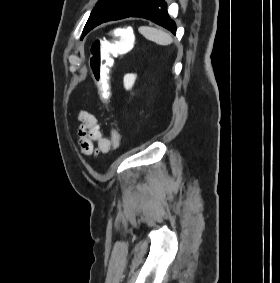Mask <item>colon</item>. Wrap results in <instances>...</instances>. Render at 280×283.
<instances>
[{"label":"colon","mask_w":280,"mask_h":283,"mask_svg":"<svg viewBox=\"0 0 280 283\" xmlns=\"http://www.w3.org/2000/svg\"><path fill=\"white\" fill-rule=\"evenodd\" d=\"M116 37H106V41L96 39L90 47L89 65L93 80L99 94L104 101L110 98V70L113 65V55H127L136 42L134 25H118V29L111 32ZM119 146L120 138L114 140Z\"/></svg>","instance_id":"1"}]
</instances>
